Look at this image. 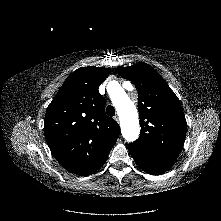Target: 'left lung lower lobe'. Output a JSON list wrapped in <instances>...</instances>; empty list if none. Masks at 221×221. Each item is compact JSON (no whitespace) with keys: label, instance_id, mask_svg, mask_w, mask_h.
Listing matches in <instances>:
<instances>
[{"label":"left lung lower lobe","instance_id":"0a47b994","mask_svg":"<svg viewBox=\"0 0 221 221\" xmlns=\"http://www.w3.org/2000/svg\"><path fill=\"white\" fill-rule=\"evenodd\" d=\"M135 163L145 172L160 175L169 170L176 162L175 158L165 157L146 150L136 143L128 146Z\"/></svg>","mask_w":221,"mask_h":221}]
</instances>
